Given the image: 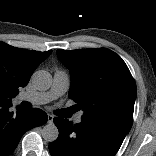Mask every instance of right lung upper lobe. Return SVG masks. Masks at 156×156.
I'll return each mask as SVG.
<instances>
[{
	"mask_svg": "<svg viewBox=\"0 0 156 156\" xmlns=\"http://www.w3.org/2000/svg\"><path fill=\"white\" fill-rule=\"evenodd\" d=\"M51 52L29 51L0 42V107L12 105L18 89L28 84L34 70Z\"/></svg>",
	"mask_w": 156,
	"mask_h": 156,
	"instance_id": "right-lung-upper-lobe-1",
	"label": "right lung upper lobe"
}]
</instances>
